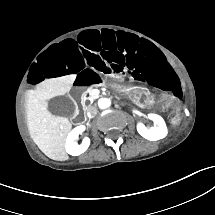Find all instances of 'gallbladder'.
Returning a JSON list of instances; mask_svg holds the SVG:
<instances>
[{
    "mask_svg": "<svg viewBox=\"0 0 215 215\" xmlns=\"http://www.w3.org/2000/svg\"><path fill=\"white\" fill-rule=\"evenodd\" d=\"M47 109L55 116L69 118L74 115L76 105L71 98L63 95H56L48 100Z\"/></svg>",
    "mask_w": 215,
    "mask_h": 215,
    "instance_id": "obj_1",
    "label": "gallbladder"
}]
</instances>
